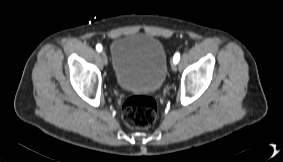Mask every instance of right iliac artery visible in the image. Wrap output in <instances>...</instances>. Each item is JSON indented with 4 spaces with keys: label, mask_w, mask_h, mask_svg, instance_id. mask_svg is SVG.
<instances>
[{
    "label": "right iliac artery",
    "mask_w": 283,
    "mask_h": 162,
    "mask_svg": "<svg viewBox=\"0 0 283 162\" xmlns=\"http://www.w3.org/2000/svg\"><path fill=\"white\" fill-rule=\"evenodd\" d=\"M96 50H97L98 52L102 51V46H101L100 44H98V45L96 46Z\"/></svg>",
    "instance_id": "right-iliac-artery-1"
}]
</instances>
